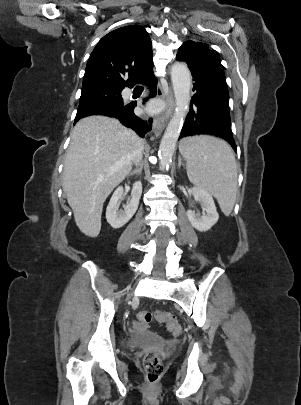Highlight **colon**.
Wrapping results in <instances>:
<instances>
[{"label":"colon","mask_w":301,"mask_h":405,"mask_svg":"<svg viewBox=\"0 0 301 405\" xmlns=\"http://www.w3.org/2000/svg\"><path fill=\"white\" fill-rule=\"evenodd\" d=\"M137 318L142 324L148 325L153 320L159 323H166L169 330L174 335H179L181 332V326L176 318L169 313L156 311L154 313L142 311L138 313ZM142 365L146 374V380L149 384H155L163 373V362L156 351L147 352L142 360Z\"/></svg>","instance_id":"obj_1"}]
</instances>
